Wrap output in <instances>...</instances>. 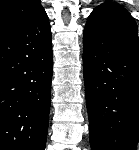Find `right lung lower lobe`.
<instances>
[{
    "mask_svg": "<svg viewBox=\"0 0 139 150\" xmlns=\"http://www.w3.org/2000/svg\"><path fill=\"white\" fill-rule=\"evenodd\" d=\"M53 71L45 11L0 35V150H44Z\"/></svg>",
    "mask_w": 139,
    "mask_h": 150,
    "instance_id": "98d812e1",
    "label": "right lung lower lobe"
}]
</instances>
